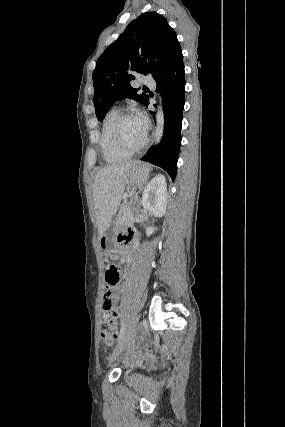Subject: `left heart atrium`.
Wrapping results in <instances>:
<instances>
[{
	"mask_svg": "<svg viewBox=\"0 0 285 427\" xmlns=\"http://www.w3.org/2000/svg\"><path fill=\"white\" fill-rule=\"evenodd\" d=\"M138 120H139V122H140V124H141V126L143 127V129L145 130V132H146V130H147V120H146V118H145V116L144 115H140L139 117H138Z\"/></svg>",
	"mask_w": 285,
	"mask_h": 427,
	"instance_id": "39dd6f15",
	"label": "left heart atrium"
}]
</instances>
